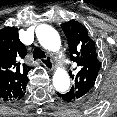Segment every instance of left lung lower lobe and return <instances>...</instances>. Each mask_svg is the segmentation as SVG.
<instances>
[{"mask_svg":"<svg viewBox=\"0 0 117 117\" xmlns=\"http://www.w3.org/2000/svg\"><path fill=\"white\" fill-rule=\"evenodd\" d=\"M57 94H58V96H59L62 100H64V101H67V102L73 101V100H71V99L69 98V96H68L67 93H65V94L57 93Z\"/></svg>","mask_w":117,"mask_h":117,"instance_id":"0a47b994","label":"left lung lower lobe"}]
</instances>
